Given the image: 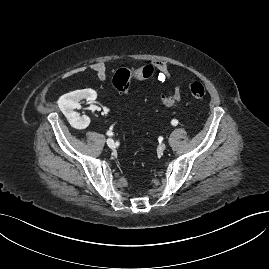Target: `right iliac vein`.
Wrapping results in <instances>:
<instances>
[{
    "mask_svg": "<svg viewBox=\"0 0 269 269\" xmlns=\"http://www.w3.org/2000/svg\"><path fill=\"white\" fill-rule=\"evenodd\" d=\"M106 143L110 148H114L115 146L114 140L111 138L107 139Z\"/></svg>",
    "mask_w": 269,
    "mask_h": 269,
    "instance_id": "63e3f726",
    "label": "right iliac vein"
}]
</instances>
